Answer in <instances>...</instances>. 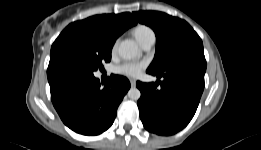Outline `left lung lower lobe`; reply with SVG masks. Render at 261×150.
Masks as SVG:
<instances>
[{"instance_id": "1", "label": "left lung lower lobe", "mask_w": 261, "mask_h": 150, "mask_svg": "<svg viewBox=\"0 0 261 150\" xmlns=\"http://www.w3.org/2000/svg\"><path fill=\"white\" fill-rule=\"evenodd\" d=\"M205 71L206 60L197 57L178 60L162 73L147 70L158 80L136 83L141 91L138 108L144 127L158 135H172L186 127L197 110Z\"/></svg>"}]
</instances>
